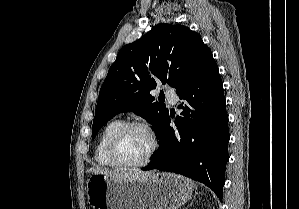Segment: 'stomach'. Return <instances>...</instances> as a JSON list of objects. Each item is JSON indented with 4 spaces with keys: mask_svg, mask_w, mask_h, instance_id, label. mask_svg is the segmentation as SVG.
Instances as JSON below:
<instances>
[{
    "mask_svg": "<svg viewBox=\"0 0 299 209\" xmlns=\"http://www.w3.org/2000/svg\"><path fill=\"white\" fill-rule=\"evenodd\" d=\"M193 188L188 178L173 173L124 181L92 173L86 186L93 209H178L190 199Z\"/></svg>",
    "mask_w": 299,
    "mask_h": 209,
    "instance_id": "stomach-1",
    "label": "stomach"
}]
</instances>
